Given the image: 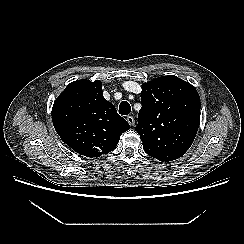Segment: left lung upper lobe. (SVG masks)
<instances>
[{
	"label": "left lung upper lobe",
	"mask_w": 244,
	"mask_h": 244,
	"mask_svg": "<svg viewBox=\"0 0 244 244\" xmlns=\"http://www.w3.org/2000/svg\"><path fill=\"white\" fill-rule=\"evenodd\" d=\"M142 108L135 130L144 151L160 161L180 158L192 145L200 123L196 88L174 76L142 84Z\"/></svg>",
	"instance_id": "left-lung-upper-lobe-1"
}]
</instances>
